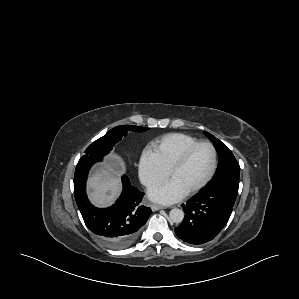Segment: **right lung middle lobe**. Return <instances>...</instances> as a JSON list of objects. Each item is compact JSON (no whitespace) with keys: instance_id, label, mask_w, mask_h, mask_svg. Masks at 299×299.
Wrapping results in <instances>:
<instances>
[{"instance_id":"dd1d6c3e","label":"right lung middle lobe","mask_w":299,"mask_h":299,"mask_svg":"<svg viewBox=\"0 0 299 299\" xmlns=\"http://www.w3.org/2000/svg\"><path fill=\"white\" fill-rule=\"evenodd\" d=\"M129 130L143 132L147 130V128L134 125L117 126L108 131L103 137L93 142L85 150V154L80 158L79 162L91 159H102V157L109 153L113 149V146L119 142Z\"/></svg>"}]
</instances>
